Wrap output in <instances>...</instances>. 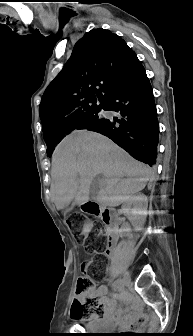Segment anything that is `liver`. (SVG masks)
Segmentation results:
<instances>
[{
  "label": "liver",
  "mask_w": 193,
  "mask_h": 336,
  "mask_svg": "<svg viewBox=\"0 0 193 336\" xmlns=\"http://www.w3.org/2000/svg\"><path fill=\"white\" fill-rule=\"evenodd\" d=\"M51 175L56 208L63 210L73 200L78 206L88 202L97 175L104 180L99 182L94 200L114 207L143 190L153 172L106 136L78 131L56 147Z\"/></svg>",
  "instance_id": "liver-1"
}]
</instances>
